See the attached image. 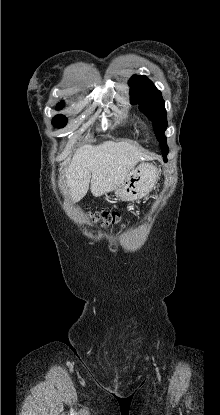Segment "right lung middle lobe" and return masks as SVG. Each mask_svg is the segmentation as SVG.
<instances>
[{
    "mask_svg": "<svg viewBox=\"0 0 220 415\" xmlns=\"http://www.w3.org/2000/svg\"><path fill=\"white\" fill-rule=\"evenodd\" d=\"M59 108L63 107V103L58 104ZM53 125L62 128L66 125L67 119L63 115H57L52 121Z\"/></svg>",
    "mask_w": 220,
    "mask_h": 415,
    "instance_id": "1",
    "label": "right lung middle lobe"
}]
</instances>
